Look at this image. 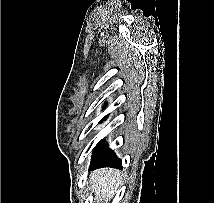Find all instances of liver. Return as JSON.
<instances>
[{
  "label": "liver",
  "instance_id": "liver-1",
  "mask_svg": "<svg viewBox=\"0 0 214 203\" xmlns=\"http://www.w3.org/2000/svg\"><path fill=\"white\" fill-rule=\"evenodd\" d=\"M121 173L115 169H99L90 176L92 191L95 193L96 200L106 198V203L116 192ZM99 203V202H97ZM102 203V202H101Z\"/></svg>",
  "mask_w": 214,
  "mask_h": 203
}]
</instances>
